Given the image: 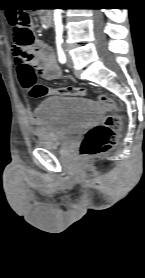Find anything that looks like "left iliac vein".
I'll return each instance as SVG.
<instances>
[{
  "label": "left iliac vein",
  "instance_id": "4c4485c4",
  "mask_svg": "<svg viewBox=\"0 0 145 278\" xmlns=\"http://www.w3.org/2000/svg\"><path fill=\"white\" fill-rule=\"evenodd\" d=\"M73 65L72 58L69 54H67V66L71 68Z\"/></svg>",
  "mask_w": 145,
  "mask_h": 278
}]
</instances>
